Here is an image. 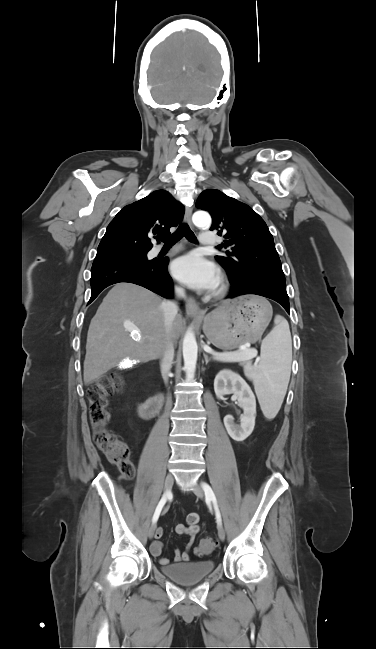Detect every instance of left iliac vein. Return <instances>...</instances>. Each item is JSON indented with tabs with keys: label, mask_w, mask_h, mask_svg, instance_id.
<instances>
[{
	"label": "left iliac vein",
	"mask_w": 376,
	"mask_h": 649,
	"mask_svg": "<svg viewBox=\"0 0 376 649\" xmlns=\"http://www.w3.org/2000/svg\"><path fill=\"white\" fill-rule=\"evenodd\" d=\"M193 492L197 497L204 498V491L199 485L193 486ZM218 536L222 541L225 539V530L221 525L218 526Z\"/></svg>",
	"instance_id": "4c4485c4"
}]
</instances>
